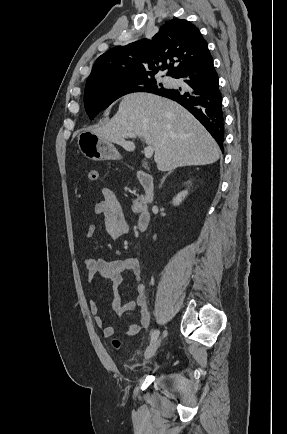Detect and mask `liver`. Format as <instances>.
<instances>
[{
	"label": "liver",
	"mask_w": 287,
	"mask_h": 434,
	"mask_svg": "<svg viewBox=\"0 0 287 434\" xmlns=\"http://www.w3.org/2000/svg\"><path fill=\"white\" fill-rule=\"evenodd\" d=\"M109 142L134 151L126 133L144 138L154 147L159 171L207 165L221 154L216 141L201 123L178 103L149 93H134L120 102L116 115L102 127L91 129Z\"/></svg>",
	"instance_id": "1"
}]
</instances>
